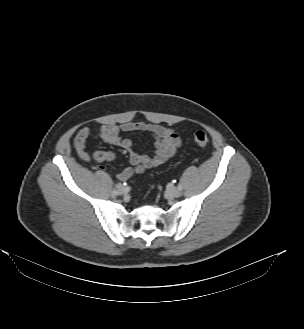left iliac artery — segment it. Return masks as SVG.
I'll use <instances>...</instances> for the list:
<instances>
[{
	"instance_id": "1",
	"label": "left iliac artery",
	"mask_w": 304,
	"mask_h": 329,
	"mask_svg": "<svg viewBox=\"0 0 304 329\" xmlns=\"http://www.w3.org/2000/svg\"><path fill=\"white\" fill-rule=\"evenodd\" d=\"M178 189H179V190H182V185H181V183L178 184Z\"/></svg>"
}]
</instances>
